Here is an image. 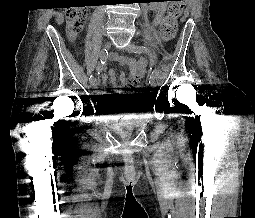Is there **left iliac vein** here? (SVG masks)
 Instances as JSON below:
<instances>
[{"label":"left iliac vein","mask_w":255,"mask_h":218,"mask_svg":"<svg viewBox=\"0 0 255 218\" xmlns=\"http://www.w3.org/2000/svg\"><path fill=\"white\" fill-rule=\"evenodd\" d=\"M136 47H137V46H136L135 44L130 43V44L127 46V51L133 53V52L135 51V48H136ZM155 85H156L155 81L152 82V83H150V86H151V87H155Z\"/></svg>","instance_id":"4c4485c4"}]
</instances>
